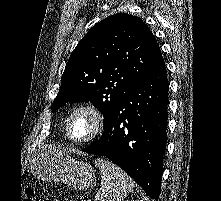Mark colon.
I'll return each instance as SVG.
<instances>
[{
  "mask_svg": "<svg viewBox=\"0 0 221 201\" xmlns=\"http://www.w3.org/2000/svg\"><path fill=\"white\" fill-rule=\"evenodd\" d=\"M35 191L32 188H27L21 198V201H35Z\"/></svg>",
  "mask_w": 221,
  "mask_h": 201,
  "instance_id": "obj_1",
  "label": "colon"
}]
</instances>
